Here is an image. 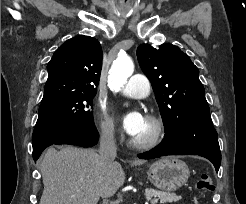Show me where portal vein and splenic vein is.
Masks as SVG:
<instances>
[{"instance_id": "portal-vein-and-splenic-vein-1", "label": "portal vein and splenic vein", "mask_w": 246, "mask_h": 204, "mask_svg": "<svg viewBox=\"0 0 246 204\" xmlns=\"http://www.w3.org/2000/svg\"><path fill=\"white\" fill-rule=\"evenodd\" d=\"M158 202V199L157 198H154V199H151L150 200V203L151 204H156Z\"/></svg>"}]
</instances>
